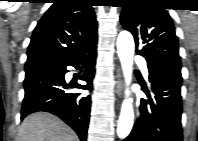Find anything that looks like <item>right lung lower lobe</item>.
Masks as SVG:
<instances>
[{"instance_id": "obj_1", "label": "right lung lower lobe", "mask_w": 198, "mask_h": 141, "mask_svg": "<svg viewBox=\"0 0 198 141\" xmlns=\"http://www.w3.org/2000/svg\"><path fill=\"white\" fill-rule=\"evenodd\" d=\"M96 56L97 38L87 43L67 60L27 71L24 80L25 97L21 119L37 111L50 112L59 116L76 131L82 141H85L90 118V95L69 93L67 89L76 87L92 90ZM83 63L88 68L80 79L87 84L66 85L64 77L68 72L67 66L78 68Z\"/></svg>"}]
</instances>
